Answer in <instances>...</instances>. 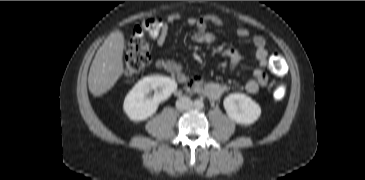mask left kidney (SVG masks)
<instances>
[{
    "label": "left kidney",
    "instance_id": "left-kidney-1",
    "mask_svg": "<svg viewBox=\"0 0 365 180\" xmlns=\"http://www.w3.org/2000/svg\"><path fill=\"white\" fill-rule=\"evenodd\" d=\"M223 105L228 116L242 125L253 124L261 115L260 106L245 94H230Z\"/></svg>",
    "mask_w": 365,
    "mask_h": 180
}]
</instances>
